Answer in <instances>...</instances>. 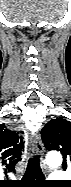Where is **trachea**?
Here are the masks:
<instances>
[{
  "label": "trachea",
  "mask_w": 71,
  "mask_h": 187,
  "mask_svg": "<svg viewBox=\"0 0 71 187\" xmlns=\"http://www.w3.org/2000/svg\"><path fill=\"white\" fill-rule=\"evenodd\" d=\"M24 177L28 179H42L44 177L40 168V156H34L29 159Z\"/></svg>",
  "instance_id": "3493384b"
}]
</instances>
